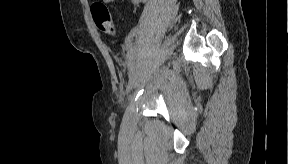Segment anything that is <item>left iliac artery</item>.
<instances>
[{
  "mask_svg": "<svg viewBox=\"0 0 288 164\" xmlns=\"http://www.w3.org/2000/svg\"><path fill=\"white\" fill-rule=\"evenodd\" d=\"M133 75H134V69L131 68V69H130V72H129V76H133Z\"/></svg>",
  "mask_w": 288,
  "mask_h": 164,
  "instance_id": "left-iliac-artery-1",
  "label": "left iliac artery"
}]
</instances>
